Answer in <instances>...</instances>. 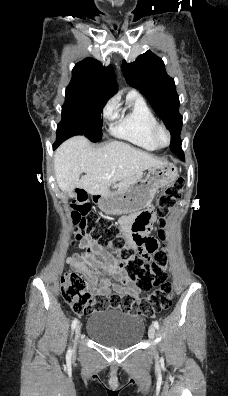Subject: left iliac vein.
Listing matches in <instances>:
<instances>
[{"label": "left iliac vein", "mask_w": 228, "mask_h": 396, "mask_svg": "<svg viewBox=\"0 0 228 396\" xmlns=\"http://www.w3.org/2000/svg\"><path fill=\"white\" fill-rule=\"evenodd\" d=\"M148 336H149V339L151 341H154L155 336H156V330H155V327L153 325H151L150 328H149Z\"/></svg>", "instance_id": "4c4485c4"}]
</instances>
